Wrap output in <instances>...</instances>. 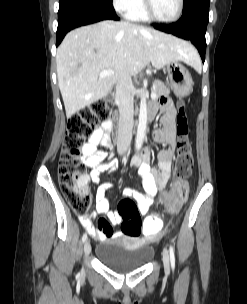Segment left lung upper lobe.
Listing matches in <instances>:
<instances>
[{"label": "left lung upper lobe", "instance_id": "1", "mask_svg": "<svg viewBox=\"0 0 247 304\" xmlns=\"http://www.w3.org/2000/svg\"><path fill=\"white\" fill-rule=\"evenodd\" d=\"M196 0H184V3H183V12H185L189 7L190 5L192 4V2H194Z\"/></svg>", "mask_w": 247, "mask_h": 304}]
</instances>
